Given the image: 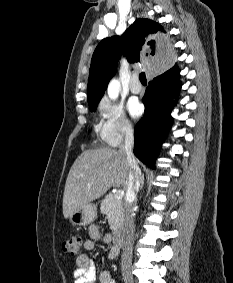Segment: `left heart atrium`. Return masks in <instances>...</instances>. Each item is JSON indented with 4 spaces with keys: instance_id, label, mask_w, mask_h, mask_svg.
<instances>
[{
    "instance_id": "1",
    "label": "left heart atrium",
    "mask_w": 233,
    "mask_h": 283,
    "mask_svg": "<svg viewBox=\"0 0 233 283\" xmlns=\"http://www.w3.org/2000/svg\"><path fill=\"white\" fill-rule=\"evenodd\" d=\"M128 111L133 118H138L143 113V106L137 100L128 103Z\"/></svg>"
}]
</instances>
